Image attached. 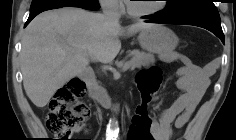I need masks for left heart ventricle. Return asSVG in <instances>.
Here are the masks:
<instances>
[{"label":"left heart ventricle","instance_id":"left-heart-ventricle-1","mask_svg":"<svg viewBox=\"0 0 236 140\" xmlns=\"http://www.w3.org/2000/svg\"><path fill=\"white\" fill-rule=\"evenodd\" d=\"M159 5L158 1L155 0H140V1H134L131 2V6L136 10H150Z\"/></svg>","mask_w":236,"mask_h":140}]
</instances>
